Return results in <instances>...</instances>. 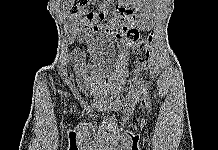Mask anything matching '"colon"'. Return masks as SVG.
Segmentation results:
<instances>
[{"label": "colon", "instance_id": "1", "mask_svg": "<svg viewBox=\"0 0 218 150\" xmlns=\"http://www.w3.org/2000/svg\"><path fill=\"white\" fill-rule=\"evenodd\" d=\"M69 1H70L69 7L72 12L76 10L78 6L86 2V0H69ZM128 38L130 39L131 43L134 45L138 60L142 63L146 62L148 60L150 48L152 45V36H150L149 39L145 41H141L139 39L138 31H133L128 35Z\"/></svg>", "mask_w": 218, "mask_h": 150}]
</instances>
